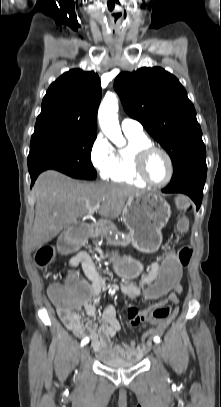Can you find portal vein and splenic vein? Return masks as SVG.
I'll use <instances>...</instances> for the list:
<instances>
[{"label":"portal vein and splenic vein","instance_id":"obj_1","mask_svg":"<svg viewBox=\"0 0 221 407\" xmlns=\"http://www.w3.org/2000/svg\"><path fill=\"white\" fill-rule=\"evenodd\" d=\"M100 208V203H97L93 208L89 209L88 214H93Z\"/></svg>","mask_w":221,"mask_h":407}]
</instances>
